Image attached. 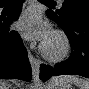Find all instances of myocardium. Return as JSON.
I'll list each match as a JSON object with an SVG mask.
<instances>
[{
  "label": "myocardium",
  "instance_id": "myocardium-1",
  "mask_svg": "<svg viewBox=\"0 0 89 89\" xmlns=\"http://www.w3.org/2000/svg\"><path fill=\"white\" fill-rule=\"evenodd\" d=\"M50 37L58 39L60 43L58 50L51 51L48 48V40H46L40 46L41 53L43 57L49 62L53 63L61 62L64 59H66L70 53L71 44L69 38L66 35V33L62 30L53 31Z\"/></svg>",
  "mask_w": 89,
  "mask_h": 89
}]
</instances>
